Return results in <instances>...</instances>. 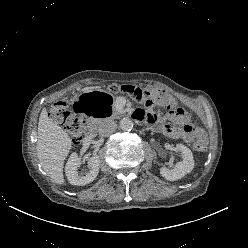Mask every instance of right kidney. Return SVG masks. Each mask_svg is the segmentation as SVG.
<instances>
[{"mask_svg": "<svg viewBox=\"0 0 248 248\" xmlns=\"http://www.w3.org/2000/svg\"><path fill=\"white\" fill-rule=\"evenodd\" d=\"M81 165V159L76 153H72L66 163L65 173L70 184L84 186L92 182L99 173L100 160L98 155L89 158L88 166L90 170L83 174H78L77 168Z\"/></svg>", "mask_w": 248, "mask_h": 248, "instance_id": "ca27d5eb", "label": "right kidney"}]
</instances>
